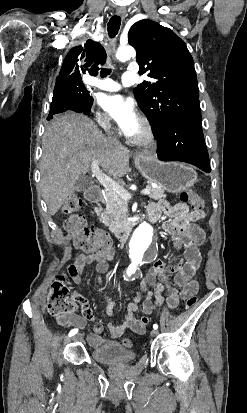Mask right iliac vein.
Listing matches in <instances>:
<instances>
[{"label": "right iliac vein", "mask_w": 247, "mask_h": 413, "mask_svg": "<svg viewBox=\"0 0 247 413\" xmlns=\"http://www.w3.org/2000/svg\"><path fill=\"white\" fill-rule=\"evenodd\" d=\"M82 338V335L81 334H77L76 336H74L73 337V339H72V341H77V340H80Z\"/></svg>", "instance_id": "1"}]
</instances>
